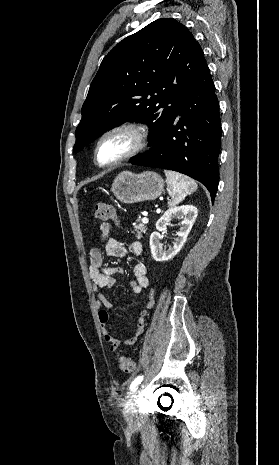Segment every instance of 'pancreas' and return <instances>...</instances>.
I'll list each match as a JSON object with an SVG mask.
<instances>
[{
	"instance_id": "cf45deb5",
	"label": "pancreas",
	"mask_w": 279,
	"mask_h": 465,
	"mask_svg": "<svg viewBox=\"0 0 279 465\" xmlns=\"http://www.w3.org/2000/svg\"><path fill=\"white\" fill-rule=\"evenodd\" d=\"M146 226L144 224H139L134 227L133 233H136V237L138 239H141L143 234L146 232Z\"/></svg>"
}]
</instances>
